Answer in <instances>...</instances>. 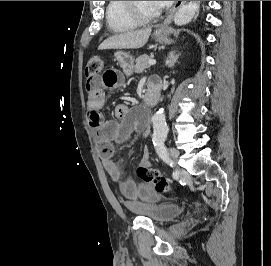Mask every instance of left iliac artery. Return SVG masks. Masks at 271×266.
<instances>
[{
  "label": "left iliac artery",
  "instance_id": "obj_1",
  "mask_svg": "<svg viewBox=\"0 0 271 266\" xmlns=\"http://www.w3.org/2000/svg\"><path fill=\"white\" fill-rule=\"evenodd\" d=\"M154 145L156 148V152L161 157V159H163V161H165L170 166H172L173 162L169 159L168 152H167V149L165 146V139H161V140L156 141L154 143Z\"/></svg>",
  "mask_w": 271,
  "mask_h": 266
}]
</instances>
